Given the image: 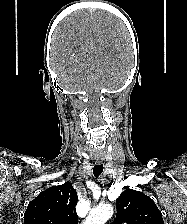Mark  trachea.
<instances>
[{
    "mask_svg": "<svg viewBox=\"0 0 187 224\" xmlns=\"http://www.w3.org/2000/svg\"><path fill=\"white\" fill-rule=\"evenodd\" d=\"M103 172V164L95 165L93 168V174L95 177H99Z\"/></svg>",
    "mask_w": 187,
    "mask_h": 224,
    "instance_id": "3493384b",
    "label": "trachea"
}]
</instances>
